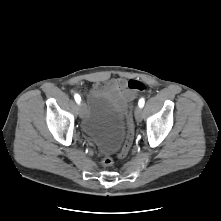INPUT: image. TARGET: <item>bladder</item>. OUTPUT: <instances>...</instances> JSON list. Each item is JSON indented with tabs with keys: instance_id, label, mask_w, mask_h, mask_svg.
<instances>
[{
	"instance_id": "bladder-1",
	"label": "bladder",
	"mask_w": 221,
	"mask_h": 221,
	"mask_svg": "<svg viewBox=\"0 0 221 221\" xmlns=\"http://www.w3.org/2000/svg\"><path fill=\"white\" fill-rule=\"evenodd\" d=\"M85 106L82 131L103 152L113 153L125 140L127 113L115 98L92 89Z\"/></svg>"
}]
</instances>
